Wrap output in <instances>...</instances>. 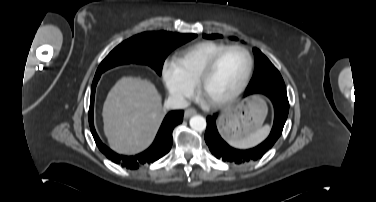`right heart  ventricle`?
<instances>
[{
    "label": "right heart ventricle",
    "instance_id": "obj_1",
    "mask_svg": "<svg viewBox=\"0 0 376 202\" xmlns=\"http://www.w3.org/2000/svg\"><path fill=\"white\" fill-rule=\"evenodd\" d=\"M227 45L215 41H202L179 51L174 60L184 77L196 85L207 62Z\"/></svg>",
    "mask_w": 376,
    "mask_h": 202
}]
</instances>
